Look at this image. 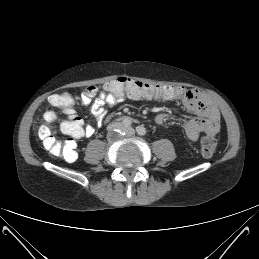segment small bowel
Instances as JSON below:
<instances>
[{
    "instance_id": "c3829d8e",
    "label": "small bowel",
    "mask_w": 259,
    "mask_h": 259,
    "mask_svg": "<svg viewBox=\"0 0 259 259\" xmlns=\"http://www.w3.org/2000/svg\"><path fill=\"white\" fill-rule=\"evenodd\" d=\"M51 96L49 102L52 104ZM126 98L140 99L127 93H112L98 90L94 86L86 87L80 97V102L83 106H90V110L95 119L101 123L106 117V108L117 103L123 102ZM148 100L161 101H181L184 107L193 113L195 117L185 120L183 128L186 136L191 141H196L200 135L216 136L220 127V115L217 107L207 97L203 96L199 91L188 89L181 86H161V93L154 98H145ZM53 105V104H52ZM54 106V105H53ZM63 112L69 117L76 116L73 102L68 101L67 105L62 107ZM170 115L166 112H161L155 117V122L159 125L164 124ZM94 134V128L87 125L82 128V137H91Z\"/></svg>"
}]
</instances>
